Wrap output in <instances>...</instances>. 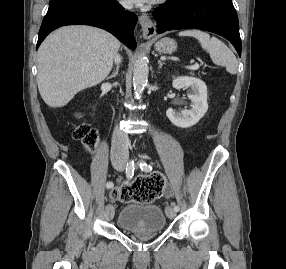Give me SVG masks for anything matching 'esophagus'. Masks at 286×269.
Masks as SVG:
<instances>
[{"label":"esophagus","mask_w":286,"mask_h":269,"mask_svg":"<svg viewBox=\"0 0 286 269\" xmlns=\"http://www.w3.org/2000/svg\"><path fill=\"white\" fill-rule=\"evenodd\" d=\"M139 24L142 29L143 37L150 39L156 33V27L151 18L147 14H142L139 17Z\"/></svg>","instance_id":"34e87169"}]
</instances>
